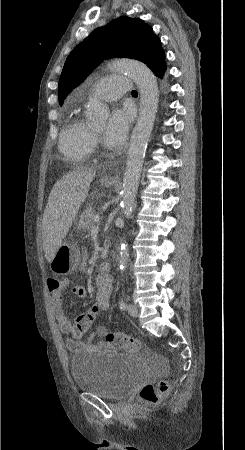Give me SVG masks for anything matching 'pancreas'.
I'll return each instance as SVG.
<instances>
[{"label":"pancreas","mask_w":245,"mask_h":450,"mask_svg":"<svg viewBox=\"0 0 245 450\" xmlns=\"http://www.w3.org/2000/svg\"><path fill=\"white\" fill-rule=\"evenodd\" d=\"M94 216L95 210L92 207L86 208L80 215V219L78 221V229H82L84 232L89 231L94 225ZM106 256L107 251L102 254V258H106Z\"/></svg>","instance_id":"cf45deb5"}]
</instances>
